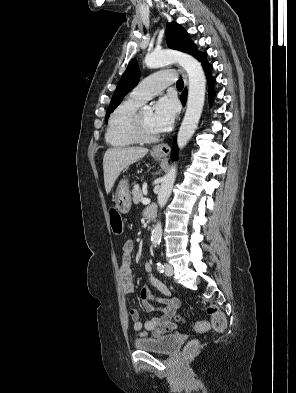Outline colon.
Returning a JSON list of instances; mask_svg holds the SVG:
<instances>
[{
    "mask_svg": "<svg viewBox=\"0 0 296 393\" xmlns=\"http://www.w3.org/2000/svg\"><path fill=\"white\" fill-rule=\"evenodd\" d=\"M109 219L111 224V229L115 235H122L124 232V225L120 214L116 209L110 208ZM207 312L212 316L211 326L217 332H222L227 326V321L224 314L214 305L207 307ZM180 319V318H178ZM194 328L197 331L204 332L209 330L210 324L206 321L198 322L194 324ZM198 343L193 341L186 345L184 348L185 356L189 357L193 355L198 350Z\"/></svg>",
    "mask_w": 296,
    "mask_h": 393,
    "instance_id": "5ec220e1",
    "label": "colon"
}]
</instances>
